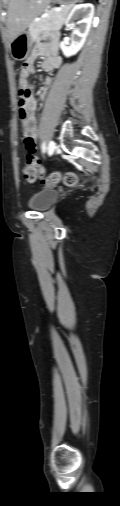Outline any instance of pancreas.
<instances>
[{
	"label": "pancreas",
	"mask_w": 120,
	"mask_h": 506,
	"mask_svg": "<svg viewBox=\"0 0 120 506\" xmlns=\"http://www.w3.org/2000/svg\"><path fill=\"white\" fill-rule=\"evenodd\" d=\"M69 10V7L61 8L59 11H56V8L50 9L46 17L30 24L29 33L31 37L35 39L42 32L60 30Z\"/></svg>",
	"instance_id": "1"
}]
</instances>
